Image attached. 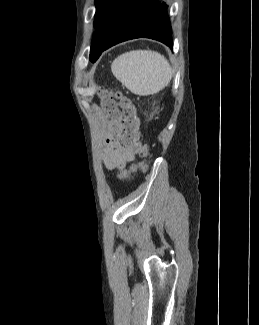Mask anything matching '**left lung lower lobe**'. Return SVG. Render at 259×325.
Segmentation results:
<instances>
[{
  "label": "left lung lower lobe",
  "mask_w": 259,
  "mask_h": 325,
  "mask_svg": "<svg viewBox=\"0 0 259 325\" xmlns=\"http://www.w3.org/2000/svg\"><path fill=\"white\" fill-rule=\"evenodd\" d=\"M167 7L157 0H124L104 32L101 52L120 42L140 37L158 40L173 49Z\"/></svg>",
  "instance_id": "obj_1"
}]
</instances>
